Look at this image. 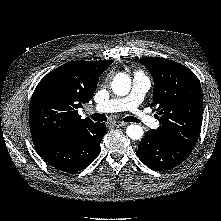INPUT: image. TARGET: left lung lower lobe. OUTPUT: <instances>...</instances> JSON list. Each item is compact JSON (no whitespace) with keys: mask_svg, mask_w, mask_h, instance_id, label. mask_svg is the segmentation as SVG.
<instances>
[{"mask_svg":"<svg viewBox=\"0 0 221 221\" xmlns=\"http://www.w3.org/2000/svg\"><path fill=\"white\" fill-rule=\"evenodd\" d=\"M191 152L192 149L157 138L150 130L140 142L136 154L147 167L165 171L182 163Z\"/></svg>","mask_w":221,"mask_h":221,"instance_id":"1","label":"left lung lower lobe"}]
</instances>
